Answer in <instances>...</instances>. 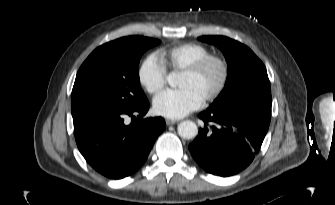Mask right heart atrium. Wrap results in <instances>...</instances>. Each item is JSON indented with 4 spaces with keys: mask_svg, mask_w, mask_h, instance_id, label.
<instances>
[{
    "mask_svg": "<svg viewBox=\"0 0 335 205\" xmlns=\"http://www.w3.org/2000/svg\"><path fill=\"white\" fill-rule=\"evenodd\" d=\"M140 84L151 94L159 92L167 80V69L157 54L148 55L138 70Z\"/></svg>",
    "mask_w": 335,
    "mask_h": 205,
    "instance_id": "obj_1",
    "label": "right heart atrium"
}]
</instances>
